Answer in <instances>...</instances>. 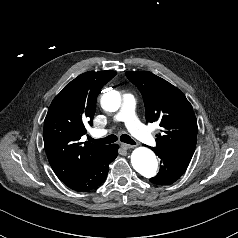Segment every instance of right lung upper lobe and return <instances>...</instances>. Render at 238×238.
I'll use <instances>...</instances> for the list:
<instances>
[{
  "label": "right lung upper lobe",
  "mask_w": 238,
  "mask_h": 238,
  "mask_svg": "<svg viewBox=\"0 0 238 238\" xmlns=\"http://www.w3.org/2000/svg\"><path fill=\"white\" fill-rule=\"evenodd\" d=\"M115 71L86 72L53 99L45 121L43 140L49 163L57 177L65 182L89 165L107 146L79 141L85 123L92 124L99 89Z\"/></svg>",
  "instance_id": "right-lung-upper-lobe-1"
}]
</instances>
